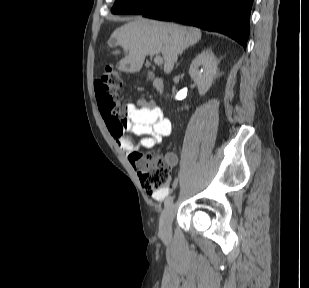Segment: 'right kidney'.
<instances>
[{"instance_id": "right-kidney-1", "label": "right kidney", "mask_w": 309, "mask_h": 288, "mask_svg": "<svg viewBox=\"0 0 309 288\" xmlns=\"http://www.w3.org/2000/svg\"><path fill=\"white\" fill-rule=\"evenodd\" d=\"M217 66L218 62L211 50H204L192 61L189 74L198 86L200 96L210 89L217 74ZM185 108L188 109V106Z\"/></svg>"}]
</instances>
